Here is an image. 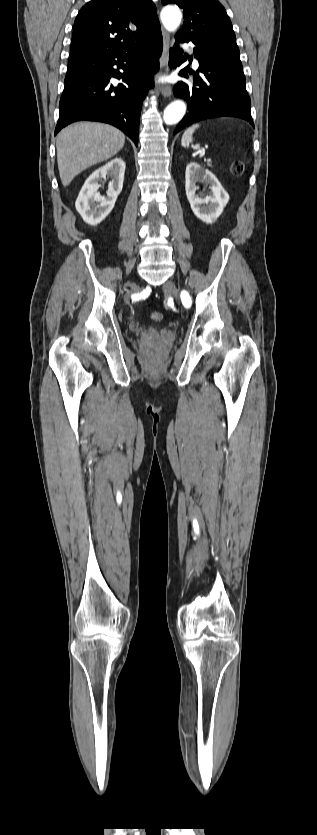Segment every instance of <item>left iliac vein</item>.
Here are the masks:
<instances>
[{"mask_svg": "<svg viewBox=\"0 0 317 835\" xmlns=\"http://www.w3.org/2000/svg\"><path fill=\"white\" fill-rule=\"evenodd\" d=\"M163 288H164V291H165V292H167V293H169V294H172V295H174L175 297H177V296H178V289L176 288V286H175V284H174L173 282H171V281L166 282V283L163 285Z\"/></svg>", "mask_w": 317, "mask_h": 835, "instance_id": "1", "label": "left iliac vein"}]
</instances>
